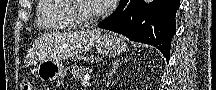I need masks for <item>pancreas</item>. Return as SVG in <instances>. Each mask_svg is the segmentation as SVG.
Returning a JSON list of instances; mask_svg holds the SVG:
<instances>
[{"instance_id":"cf45deb5","label":"pancreas","mask_w":216,"mask_h":90,"mask_svg":"<svg viewBox=\"0 0 216 90\" xmlns=\"http://www.w3.org/2000/svg\"><path fill=\"white\" fill-rule=\"evenodd\" d=\"M72 76H74L75 80H78V82H85V80H90V72L88 68H73L72 70Z\"/></svg>"}]
</instances>
